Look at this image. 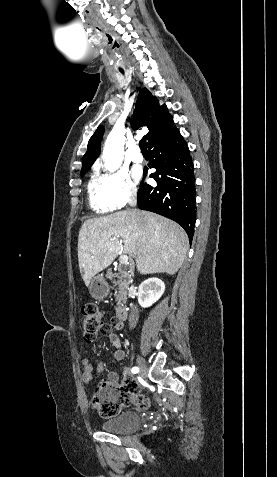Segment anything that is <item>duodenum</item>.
<instances>
[{"label": "duodenum", "instance_id": "duodenum-1", "mask_svg": "<svg viewBox=\"0 0 277 477\" xmlns=\"http://www.w3.org/2000/svg\"><path fill=\"white\" fill-rule=\"evenodd\" d=\"M116 316H117V319L121 322L126 320L127 317H128V311H127L126 307L119 306L116 310Z\"/></svg>", "mask_w": 277, "mask_h": 477}]
</instances>
